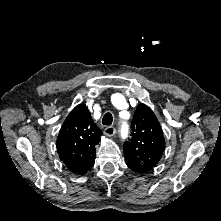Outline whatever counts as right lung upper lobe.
Here are the masks:
<instances>
[{"label": "right lung upper lobe", "instance_id": "1", "mask_svg": "<svg viewBox=\"0 0 221 221\" xmlns=\"http://www.w3.org/2000/svg\"><path fill=\"white\" fill-rule=\"evenodd\" d=\"M101 130L96 126L86 105H77L64 121L58 138L57 151L69 171L84 174L95 162V145Z\"/></svg>", "mask_w": 221, "mask_h": 221}]
</instances>
